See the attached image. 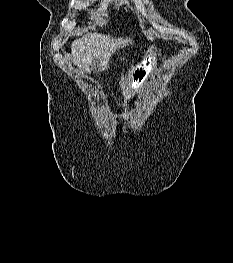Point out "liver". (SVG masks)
I'll use <instances>...</instances> for the list:
<instances>
[{
    "instance_id": "obj_1",
    "label": "liver",
    "mask_w": 233,
    "mask_h": 263,
    "mask_svg": "<svg viewBox=\"0 0 233 263\" xmlns=\"http://www.w3.org/2000/svg\"><path fill=\"white\" fill-rule=\"evenodd\" d=\"M133 45L130 38H113L100 33H87L71 44L73 64L78 67L82 75L88 72L91 63L97 59L100 70L108 68L109 59L120 48Z\"/></svg>"
}]
</instances>
